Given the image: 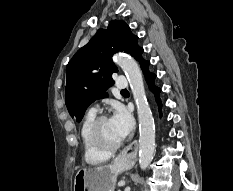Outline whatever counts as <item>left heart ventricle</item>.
I'll return each mask as SVG.
<instances>
[{
	"label": "left heart ventricle",
	"instance_id": "left-heart-ventricle-1",
	"mask_svg": "<svg viewBox=\"0 0 233 191\" xmlns=\"http://www.w3.org/2000/svg\"><path fill=\"white\" fill-rule=\"evenodd\" d=\"M100 135L102 140L108 145H114L121 141L110 119L102 122L100 126Z\"/></svg>",
	"mask_w": 233,
	"mask_h": 191
}]
</instances>
